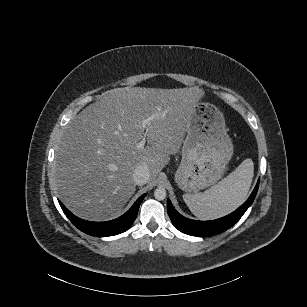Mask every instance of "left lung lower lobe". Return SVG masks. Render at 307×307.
Instances as JSON below:
<instances>
[{"mask_svg":"<svg viewBox=\"0 0 307 307\" xmlns=\"http://www.w3.org/2000/svg\"><path fill=\"white\" fill-rule=\"evenodd\" d=\"M258 180L252 194L248 198V200L240 206L233 213L212 221H195L184 216L180 215L171 204L170 200H167V210L169 217L173 223V225L183 233L199 236V237H207L211 235H215L221 232L226 231L231 226H233L245 213V211L249 208V206L254 201V198L257 194L259 187Z\"/></svg>","mask_w":307,"mask_h":307,"instance_id":"0a47b994","label":"left lung lower lobe"}]
</instances>
